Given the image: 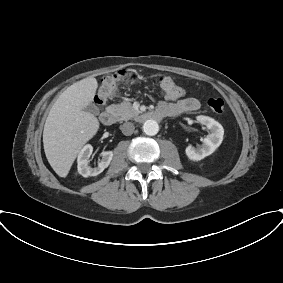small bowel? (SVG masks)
I'll use <instances>...</instances> for the list:
<instances>
[{
    "mask_svg": "<svg viewBox=\"0 0 283 283\" xmlns=\"http://www.w3.org/2000/svg\"><path fill=\"white\" fill-rule=\"evenodd\" d=\"M169 100H172L174 102L168 103V102H160L159 103V110H170L172 111L171 116L181 115L185 113H191L199 109L200 102L195 97H186L179 100H176L177 98H171L168 97Z\"/></svg>",
    "mask_w": 283,
    "mask_h": 283,
    "instance_id": "small-bowel-1",
    "label": "small bowel"
}]
</instances>
